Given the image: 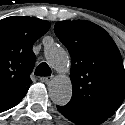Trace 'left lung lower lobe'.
Here are the masks:
<instances>
[{"label": "left lung lower lobe", "instance_id": "obj_1", "mask_svg": "<svg viewBox=\"0 0 125 125\" xmlns=\"http://www.w3.org/2000/svg\"><path fill=\"white\" fill-rule=\"evenodd\" d=\"M58 111L70 121L80 125H98L111 117L115 110L99 109V110H70L64 106H57Z\"/></svg>", "mask_w": 125, "mask_h": 125}]
</instances>
